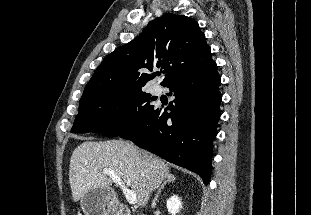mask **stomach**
Here are the masks:
<instances>
[{"label": "stomach", "mask_w": 311, "mask_h": 215, "mask_svg": "<svg viewBox=\"0 0 311 215\" xmlns=\"http://www.w3.org/2000/svg\"><path fill=\"white\" fill-rule=\"evenodd\" d=\"M85 215H115L117 203L109 188H93L85 192L80 200Z\"/></svg>", "instance_id": "obj_1"}]
</instances>
